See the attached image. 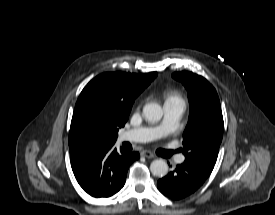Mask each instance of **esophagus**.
<instances>
[{"instance_id":"1","label":"esophagus","mask_w":275,"mask_h":215,"mask_svg":"<svg viewBox=\"0 0 275 215\" xmlns=\"http://www.w3.org/2000/svg\"><path fill=\"white\" fill-rule=\"evenodd\" d=\"M141 156L146 157V158H154L155 157V155L149 150H143L141 152Z\"/></svg>"}]
</instances>
